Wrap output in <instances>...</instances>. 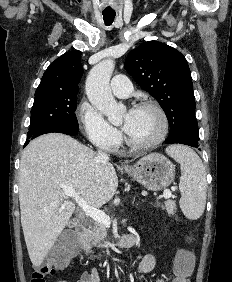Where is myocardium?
<instances>
[{
  "instance_id": "myocardium-1",
  "label": "myocardium",
  "mask_w": 232,
  "mask_h": 282,
  "mask_svg": "<svg viewBox=\"0 0 232 282\" xmlns=\"http://www.w3.org/2000/svg\"><path fill=\"white\" fill-rule=\"evenodd\" d=\"M137 108H148V109H152L154 110L158 116L160 117L161 120V130L158 134V136L146 143H137L135 141H133L132 139L129 138V136L127 134L124 135V140L125 143L131 147L132 149L135 150H148V149H152L156 146H158L159 144H161L165 138L168 135L169 132V119L168 116L166 114V112L164 111V109L156 102L151 101V100H146V101H142L137 105Z\"/></svg>"
}]
</instances>
